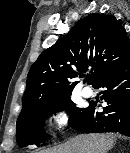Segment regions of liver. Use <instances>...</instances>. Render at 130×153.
Instances as JSON below:
<instances>
[{
	"label": "liver",
	"mask_w": 130,
	"mask_h": 153,
	"mask_svg": "<svg viewBox=\"0 0 130 153\" xmlns=\"http://www.w3.org/2000/svg\"><path fill=\"white\" fill-rule=\"evenodd\" d=\"M116 140L113 134H82L41 153H107Z\"/></svg>",
	"instance_id": "1"
}]
</instances>
